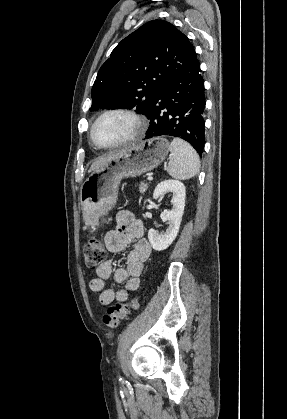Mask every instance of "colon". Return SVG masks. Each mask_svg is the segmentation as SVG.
Returning <instances> with one entry per match:
<instances>
[{"label": "colon", "mask_w": 287, "mask_h": 419, "mask_svg": "<svg viewBox=\"0 0 287 419\" xmlns=\"http://www.w3.org/2000/svg\"><path fill=\"white\" fill-rule=\"evenodd\" d=\"M85 262L88 268L97 269L105 263L107 253L102 241L90 238L84 244ZM139 306V300L134 299L129 303L118 302L110 306L103 316V323L109 328H117L133 310Z\"/></svg>", "instance_id": "obj_1"}]
</instances>
